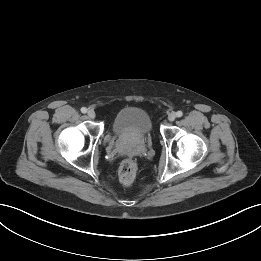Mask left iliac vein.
I'll use <instances>...</instances> for the list:
<instances>
[{
	"label": "left iliac vein",
	"mask_w": 261,
	"mask_h": 261,
	"mask_svg": "<svg viewBox=\"0 0 261 261\" xmlns=\"http://www.w3.org/2000/svg\"><path fill=\"white\" fill-rule=\"evenodd\" d=\"M176 119V114L175 113H170L169 115H168V120L169 121H174Z\"/></svg>",
	"instance_id": "obj_1"
}]
</instances>
